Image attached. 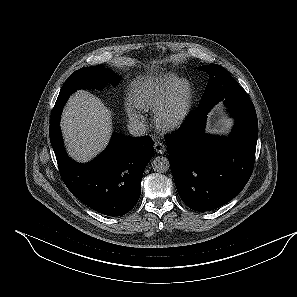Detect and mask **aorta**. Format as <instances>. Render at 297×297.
<instances>
[{
    "label": "aorta",
    "mask_w": 297,
    "mask_h": 297,
    "mask_svg": "<svg viewBox=\"0 0 297 297\" xmlns=\"http://www.w3.org/2000/svg\"><path fill=\"white\" fill-rule=\"evenodd\" d=\"M152 168L158 173H164L170 168V163L168 158L163 156L155 157L152 161Z\"/></svg>",
    "instance_id": "762f6f07"
}]
</instances>
